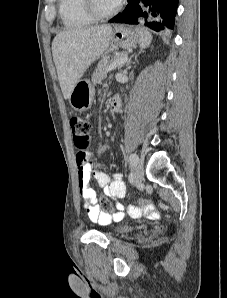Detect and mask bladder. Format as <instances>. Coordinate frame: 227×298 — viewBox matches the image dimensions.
<instances>
[{"label": "bladder", "instance_id": "bladder-1", "mask_svg": "<svg viewBox=\"0 0 227 298\" xmlns=\"http://www.w3.org/2000/svg\"><path fill=\"white\" fill-rule=\"evenodd\" d=\"M134 226L126 223L108 224L106 225V231L111 234H124L134 230Z\"/></svg>", "mask_w": 227, "mask_h": 298}]
</instances>
